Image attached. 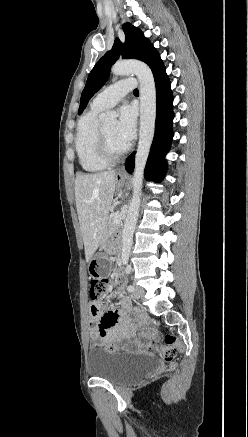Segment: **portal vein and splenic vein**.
I'll list each match as a JSON object with an SVG mask.
<instances>
[{"mask_svg":"<svg viewBox=\"0 0 248 437\" xmlns=\"http://www.w3.org/2000/svg\"><path fill=\"white\" fill-rule=\"evenodd\" d=\"M120 221H121L120 214H119V212H116L115 217H114V222L119 223Z\"/></svg>","mask_w":248,"mask_h":437,"instance_id":"18ae733b","label":"portal vein and splenic vein"}]
</instances>
